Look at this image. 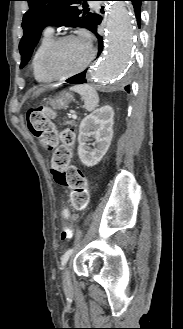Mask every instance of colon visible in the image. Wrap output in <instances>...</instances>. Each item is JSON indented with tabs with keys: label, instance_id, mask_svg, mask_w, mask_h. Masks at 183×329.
<instances>
[{
	"label": "colon",
	"instance_id": "1",
	"mask_svg": "<svg viewBox=\"0 0 183 329\" xmlns=\"http://www.w3.org/2000/svg\"><path fill=\"white\" fill-rule=\"evenodd\" d=\"M53 117V110L47 106L30 109L27 113V126L45 150L55 149L50 169L53 179L58 186L70 191L72 208L82 210L88 202V182L82 170L71 164L75 134L71 129L58 133L52 122ZM71 236V229L62 226L60 239L68 240Z\"/></svg>",
	"mask_w": 183,
	"mask_h": 329
}]
</instances>
